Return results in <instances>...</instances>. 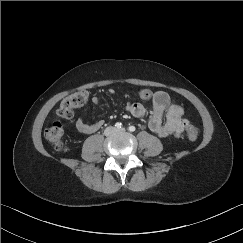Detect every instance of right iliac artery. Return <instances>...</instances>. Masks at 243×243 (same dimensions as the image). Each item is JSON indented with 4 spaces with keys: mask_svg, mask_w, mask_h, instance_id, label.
<instances>
[{
    "mask_svg": "<svg viewBox=\"0 0 243 243\" xmlns=\"http://www.w3.org/2000/svg\"><path fill=\"white\" fill-rule=\"evenodd\" d=\"M115 126L117 127V129H121V128H122V123L117 122V123L115 124Z\"/></svg>",
    "mask_w": 243,
    "mask_h": 243,
    "instance_id": "obj_1",
    "label": "right iliac artery"
}]
</instances>
